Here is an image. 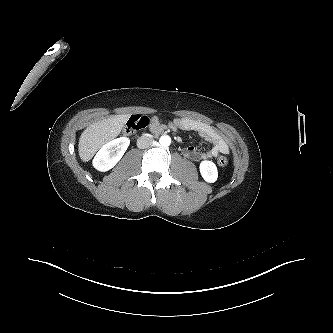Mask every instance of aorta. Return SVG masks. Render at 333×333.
Listing matches in <instances>:
<instances>
[{
	"label": "aorta",
	"mask_w": 333,
	"mask_h": 333,
	"mask_svg": "<svg viewBox=\"0 0 333 333\" xmlns=\"http://www.w3.org/2000/svg\"><path fill=\"white\" fill-rule=\"evenodd\" d=\"M159 143L163 147H168L171 144V138L168 135H163L160 137Z\"/></svg>",
	"instance_id": "aorta-1"
}]
</instances>
